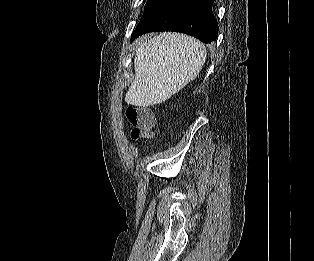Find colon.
<instances>
[{"label": "colon", "instance_id": "5ec220e1", "mask_svg": "<svg viewBox=\"0 0 314 261\" xmlns=\"http://www.w3.org/2000/svg\"><path fill=\"white\" fill-rule=\"evenodd\" d=\"M125 115L132 126L130 137L134 141L152 136V129L155 126V115L151 109L129 106L125 111Z\"/></svg>", "mask_w": 314, "mask_h": 261}]
</instances>
